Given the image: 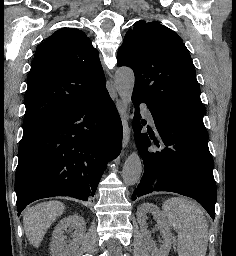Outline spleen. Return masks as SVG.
Wrapping results in <instances>:
<instances>
[{
	"mask_svg": "<svg viewBox=\"0 0 236 256\" xmlns=\"http://www.w3.org/2000/svg\"><path fill=\"white\" fill-rule=\"evenodd\" d=\"M162 208L178 234V256H206L208 224L199 206L185 198H169Z\"/></svg>",
	"mask_w": 236,
	"mask_h": 256,
	"instance_id": "spleen-1",
	"label": "spleen"
}]
</instances>
